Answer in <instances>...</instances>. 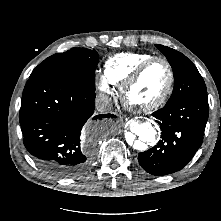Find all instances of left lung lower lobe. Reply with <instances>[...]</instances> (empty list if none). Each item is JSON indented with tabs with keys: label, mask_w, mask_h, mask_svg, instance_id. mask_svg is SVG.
<instances>
[{
	"label": "left lung lower lobe",
	"mask_w": 221,
	"mask_h": 221,
	"mask_svg": "<svg viewBox=\"0 0 221 221\" xmlns=\"http://www.w3.org/2000/svg\"><path fill=\"white\" fill-rule=\"evenodd\" d=\"M207 93H196L166 105L152 115L161 127V140L138 155L141 167L156 176L181 170L202 145L208 120Z\"/></svg>",
	"instance_id": "0a47b994"
}]
</instances>
